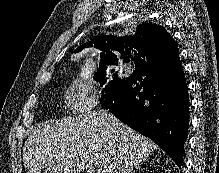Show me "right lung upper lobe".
Masks as SVG:
<instances>
[{
	"mask_svg": "<svg viewBox=\"0 0 219 173\" xmlns=\"http://www.w3.org/2000/svg\"><path fill=\"white\" fill-rule=\"evenodd\" d=\"M93 44L95 48L102 50L100 68L97 69L94 79L107 66H120L133 62L138 67L150 59L162 66H171L179 58L177 42L165 28L152 23L138 25L134 36H97L74 52H80Z\"/></svg>",
	"mask_w": 219,
	"mask_h": 173,
	"instance_id": "1",
	"label": "right lung upper lobe"
}]
</instances>
